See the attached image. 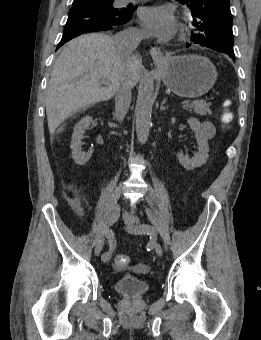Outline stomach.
Segmentation results:
<instances>
[{
	"mask_svg": "<svg viewBox=\"0 0 261 340\" xmlns=\"http://www.w3.org/2000/svg\"><path fill=\"white\" fill-rule=\"evenodd\" d=\"M162 79L174 94L196 98L206 94L217 79V71L211 61L199 55H182L156 62Z\"/></svg>",
	"mask_w": 261,
	"mask_h": 340,
	"instance_id": "stomach-1",
	"label": "stomach"
}]
</instances>
